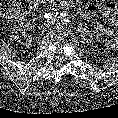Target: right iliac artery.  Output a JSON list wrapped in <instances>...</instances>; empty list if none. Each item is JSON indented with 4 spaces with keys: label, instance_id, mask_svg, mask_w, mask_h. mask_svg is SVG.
Returning <instances> with one entry per match:
<instances>
[{
    "label": "right iliac artery",
    "instance_id": "1",
    "mask_svg": "<svg viewBox=\"0 0 118 118\" xmlns=\"http://www.w3.org/2000/svg\"><path fill=\"white\" fill-rule=\"evenodd\" d=\"M58 15V12H57V10L56 9H51V10H49L47 13H45V15H44V18H46V19H52V18H54V17H56Z\"/></svg>",
    "mask_w": 118,
    "mask_h": 118
}]
</instances>
